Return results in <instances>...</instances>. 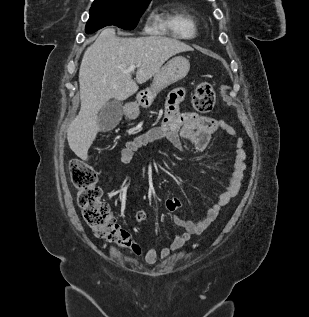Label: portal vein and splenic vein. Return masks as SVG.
Listing matches in <instances>:
<instances>
[{
  "instance_id": "portal-vein-and-splenic-vein-1",
  "label": "portal vein and splenic vein",
  "mask_w": 309,
  "mask_h": 317,
  "mask_svg": "<svg viewBox=\"0 0 309 317\" xmlns=\"http://www.w3.org/2000/svg\"><path fill=\"white\" fill-rule=\"evenodd\" d=\"M135 65H131L130 67H129V71H133L134 69H135Z\"/></svg>"
}]
</instances>
